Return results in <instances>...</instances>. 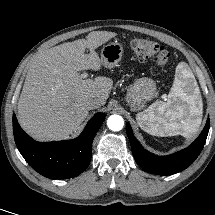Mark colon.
<instances>
[{
    "label": "colon",
    "instance_id": "colon-1",
    "mask_svg": "<svg viewBox=\"0 0 215 215\" xmlns=\"http://www.w3.org/2000/svg\"><path fill=\"white\" fill-rule=\"evenodd\" d=\"M131 49L140 61L154 59L159 65L164 66L170 59V52L167 49L149 39H133Z\"/></svg>",
    "mask_w": 215,
    "mask_h": 215
}]
</instances>
